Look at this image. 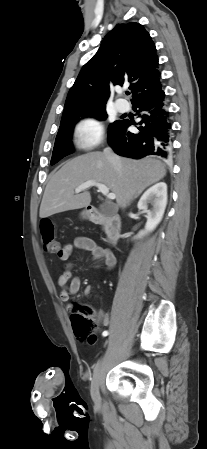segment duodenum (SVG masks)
Masks as SVG:
<instances>
[{
    "instance_id": "obj_1",
    "label": "duodenum",
    "mask_w": 207,
    "mask_h": 449,
    "mask_svg": "<svg viewBox=\"0 0 207 449\" xmlns=\"http://www.w3.org/2000/svg\"><path fill=\"white\" fill-rule=\"evenodd\" d=\"M87 219L96 225H104L106 227L109 242L116 243L122 233V220L117 214L105 215L95 206H89L87 209Z\"/></svg>"
}]
</instances>
